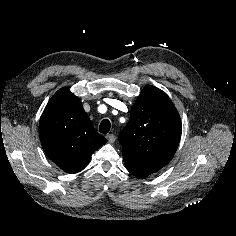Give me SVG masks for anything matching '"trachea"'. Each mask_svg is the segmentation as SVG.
<instances>
[{
    "label": "trachea",
    "mask_w": 236,
    "mask_h": 236,
    "mask_svg": "<svg viewBox=\"0 0 236 236\" xmlns=\"http://www.w3.org/2000/svg\"><path fill=\"white\" fill-rule=\"evenodd\" d=\"M111 123L108 119H104L99 126V132L107 134L110 131Z\"/></svg>",
    "instance_id": "3493384b"
}]
</instances>
